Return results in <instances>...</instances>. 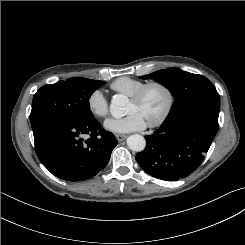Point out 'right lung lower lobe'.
<instances>
[{
    "label": "right lung lower lobe",
    "mask_w": 245,
    "mask_h": 245,
    "mask_svg": "<svg viewBox=\"0 0 245 245\" xmlns=\"http://www.w3.org/2000/svg\"><path fill=\"white\" fill-rule=\"evenodd\" d=\"M32 129L41 163L66 181H83L98 174L117 145L115 136L95 118L73 123L46 118ZM85 135L90 137L84 141Z\"/></svg>",
    "instance_id": "obj_1"
}]
</instances>
